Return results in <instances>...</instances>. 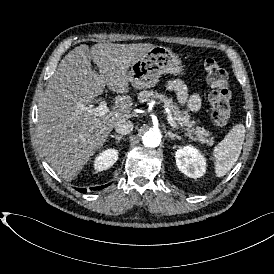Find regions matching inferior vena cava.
I'll list each match as a JSON object with an SVG mask.
<instances>
[{
  "label": "inferior vena cava",
  "mask_w": 274,
  "mask_h": 274,
  "mask_svg": "<svg viewBox=\"0 0 274 274\" xmlns=\"http://www.w3.org/2000/svg\"><path fill=\"white\" fill-rule=\"evenodd\" d=\"M133 127V123L130 120H122L115 125V131L121 135H126L133 130Z\"/></svg>",
  "instance_id": "obj_1"
}]
</instances>
